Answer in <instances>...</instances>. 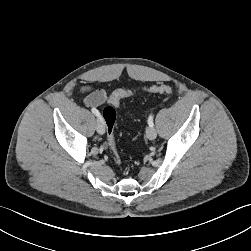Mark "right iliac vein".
Returning <instances> with one entry per match:
<instances>
[{"instance_id":"right-iliac-vein-1","label":"right iliac vein","mask_w":251,"mask_h":251,"mask_svg":"<svg viewBox=\"0 0 251 251\" xmlns=\"http://www.w3.org/2000/svg\"><path fill=\"white\" fill-rule=\"evenodd\" d=\"M96 130L100 135H103L105 133V127L104 124L98 119L96 123Z\"/></svg>"}]
</instances>
